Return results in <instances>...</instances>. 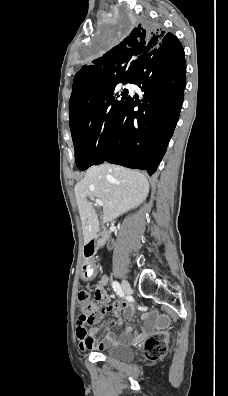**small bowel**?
I'll list each match as a JSON object with an SVG mask.
<instances>
[{
  "label": "small bowel",
  "instance_id": "1",
  "mask_svg": "<svg viewBox=\"0 0 228 396\" xmlns=\"http://www.w3.org/2000/svg\"><path fill=\"white\" fill-rule=\"evenodd\" d=\"M83 272L86 277H92L94 275V265L91 262H86L83 266ZM107 284L108 277L102 276L93 286L95 298L102 304V306L96 311L93 322H99L106 313H111L115 318H119L121 313H124L127 318L131 317L133 315L134 307L130 302L116 301L110 303L111 296L106 291ZM124 327L125 331L119 338H117L113 333H108L103 339H98L97 328L87 331L84 326L78 324L76 334L79 341V347L81 350H104L105 348L119 343H128L133 340H139L143 336H133L131 333L132 328L129 325H124ZM143 327L144 331H148L152 327V321L150 319H145Z\"/></svg>",
  "mask_w": 228,
  "mask_h": 396
}]
</instances>
